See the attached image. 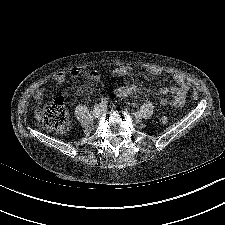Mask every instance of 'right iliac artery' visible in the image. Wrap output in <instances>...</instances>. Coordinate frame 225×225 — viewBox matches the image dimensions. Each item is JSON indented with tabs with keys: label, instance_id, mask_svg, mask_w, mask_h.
I'll use <instances>...</instances> for the list:
<instances>
[{
	"label": "right iliac artery",
	"instance_id": "obj_1",
	"mask_svg": "<svg viewBox=\"0 0 225 225\" xmlns=\"http://www.w3.org/2000/svg\"><path fill=\"white\" fill-rule=\"evenodd\" d=\"M109 103H110V98H108V97H103V98L101 99V104H102L103 106H107Z\"/></svg>",
	"mask_w": 225,
	"mask_h": 225
}]
</instances>
